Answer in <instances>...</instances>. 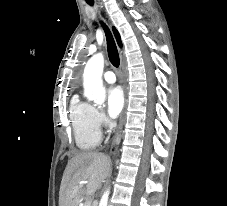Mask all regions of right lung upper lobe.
Returning <instances> with one entry per match:
<instances>
[{
    "instance_id": "1",
    "label": "right lung upper lobe",
    "mask_w": 227,
    "mask_h": 206,
    "mask_svg": "<svg viewBox=\"0 0 227 206\" xmlns=\"http://www.w3.org/2000/svg\"><path fill=\"white\" fill-rule=\"evenodd\" d=\"M113 32H114L115 38H116V40L118 42V45L121 47L122 43H121L120 35H119V33H118V31L116 30L115 27H113Z\"/></svg>"
}]
</instances>
